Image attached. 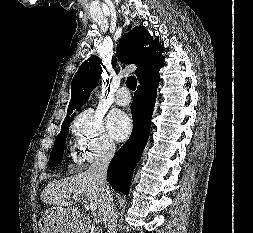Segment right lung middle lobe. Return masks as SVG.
<instances>
[{
	"label": "right lung middle lobe",
	"mask_w": 253,
	"mask_h": 233,
	"mask_svg": "<svg viewBox=\"0 0 253 233\" xmlns=\"http://www.w3.org/2000/svg\"><path fill=\"white\" fill-rule=\"evenodd\" d=\"M73 117L66 118L61 126V131L58 134L52 152L49 159V166H54L62 161L63 158V151H64V144L66 141V137L68 134V127L70 126V122L73 120Z\"/></svg>",
	"instance_id": "1"
}]
</instances>
